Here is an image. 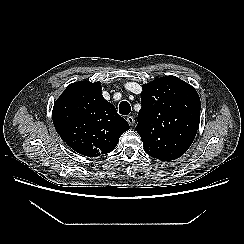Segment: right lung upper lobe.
<instances>
[{
    "mask_svg": "<svg viewBox=\"0 0 244 244\" xmlns=\"http://www.w3.org/2000/svg\"><path fill=\"white\" fill-rule=\"evenodd\" d=\"M52 119L62 140L88 157L111 152L129 129L126 120L103 98L100 82L70 84L56 100Z\"/></svg>",
    "mask_w": 244,
    "mask_h": 244,
    "instance_id": "right-lung-upper-lobe-1",
    "label": "right lung upper lobe"
}]
</instances>
